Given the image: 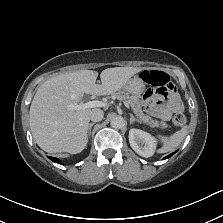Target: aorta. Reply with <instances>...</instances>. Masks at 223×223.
Instances as JSON below:
<instances>
[{
	"mask_svg": "<svg viewBox=\"0 0 223 223\" xmlns=\"http://www.w3.org/2000/svg\"><path fill=\"white\" fill-rule=\"evenodd\" d=\"M111 126L113 128H122L124 126V119L122 116L118 115L111 119Z\"/></svg>",
	"mask_w": 223,
	"mask_h": 223,
	"instance_id": "aorta-1",
	"label": "aorta"
}]
</instances>
